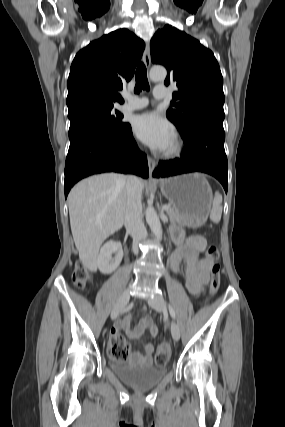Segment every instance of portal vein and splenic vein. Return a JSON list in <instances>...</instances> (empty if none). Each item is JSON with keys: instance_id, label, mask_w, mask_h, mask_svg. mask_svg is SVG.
I'll return each instance as SVG.
<instances>
[{"instance_id": "portal-vein-and-splenic-vein-1", "label": "portal vein and splenic vein", "mask_w": 285, "mask_h": 427, "mask_svg": "<svg viewBox=\"0 0 285 427\" xmlns=\"http://www.w3.org/2000/svg\"><path fill=\"white\" fill-rule=\"evenodd\" d=\"M170 208H171V207H170L169 205H164V206H163V209H164V210H166V211H168Z\"/></svg>"}]
</instances>
